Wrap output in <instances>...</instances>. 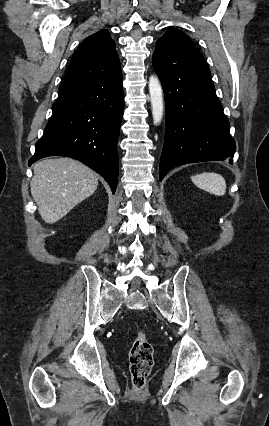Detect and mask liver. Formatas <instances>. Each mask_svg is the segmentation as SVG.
Wrapping results in <instances>:
<instances>
[{
  "label": "liver",
  "mask_w": 269,
  "mask_h": 426,
  "mask_svg": "<svg viewBox=\"0 0 269 426\" xmlns=\"http://www.w3.org/2000/svg\"><path fill=\"white\" fill-rule=\"evenodd\" d=\"M31 194L42 219L53 224L97 189L98 178L71 158H49L34 165Z\"/></svg>",
  "instance_id": "6515ba94"
}]
</instances>
